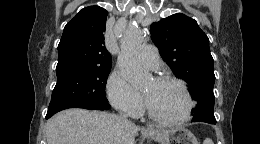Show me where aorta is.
Masks as SVG:
<instances>
[{"label": "aorta", "mask_w": 260, "mask_h": 144, "mask_svg": "<svg viewBox=\"0 0 260 144\" xmlns=\"http://www.w3.org/2000/svg\"><path fill=\"white\" fill-rule=\"evenodd\" d=\"M144 33L140 28L133 27L124 32L120 39L121 52L117 64L124 78L133 86H141L150 78L138 63V54L144 44Z\"/></svg>", "instance_id": "1"}]
</instances>
